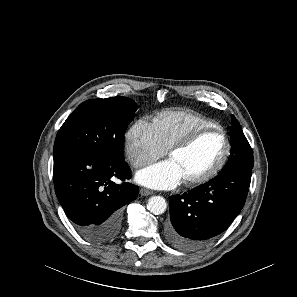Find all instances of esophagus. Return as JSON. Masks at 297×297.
<instances>
[{"label":"esophagus","mask_w":297,"mask_h":297,"mask_svg":"<svg viewBox=\"0 0 297 297\" xmlns=\"http://www.w3.org/2000/svg\"><path fill=\"white\" fill-rule=\"evenodd\" d=\"M139 194L142 195V196H148V195L153 194V192L150 191V190H148V189L141 188V189L139 190Z\"/></svg>","instance_id":"34e87169"}]
</instances>
